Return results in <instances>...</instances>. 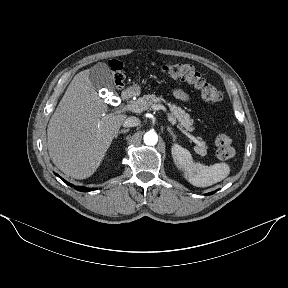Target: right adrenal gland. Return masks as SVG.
<instances>
[{
  "instance_id": "obj_1",
  "label": "right adrenal gland",
  "mask_w": 288,
  "mask_h": 288,
  "mask_svg": "<svg viewBox=\"0 0 288 288\" xmlns=\"http://www.w3.org/2000/svg\"><path fill=\"white\" fill-rule=\"evenodd\" d=\"M129 132V129H122L120 131H118V133L115 135V138L117 139L118 135L121 134V133H127Z\"/></svg>"
}]
</instances>
